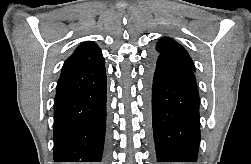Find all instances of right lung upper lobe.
Wrapping results in <instances>:
<instances>
[{"mask_svg":"<svg viewBox=\"0 0 251 164\" xmlns=\"http://www.w3.org/2000/svg\"><path fill=\"white\" fill-rule=\"evenodd\" d=\"M102 64H104V58L100 48L95 43L87 41L80 44L75 52L65 61L61 76Z\"/></svg>","mask_w":251,"mask_h":164,"instance_id":"cb5924a9","label":"right lung upper lobe"}]
</instances>
